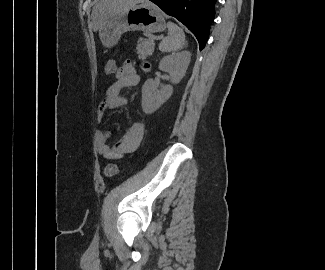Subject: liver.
<instances>
[{
    "label": "liver",
    "mask_w": 325,
    "mask_h": 270,
    "mask_svg": "<svg viewBox=\"0 0 325 270\" xmlns=\"http://www.w3.org/2000/svg\"><path fill=\"white\" fill-rule=\"evenodd\" d=\"M141 0H97L92 10V28L96 32L111 14L134 6Z\"/></svg>",
    "instance_id": "liver-1"
}]
</instances>
